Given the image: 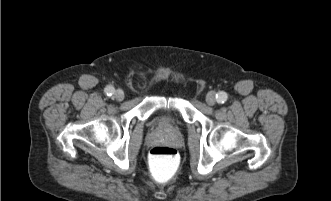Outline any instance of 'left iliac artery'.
Masks as SVG:
<instances>
[{
  "mask_svg": "<svg viewBox=\"0 0 331 201\" xmlns=\"http://www.w3.org/2000/svg\"><path fill=\"white\" fill-rule=\"evenodd\" d=\"M228 98V95L227 93L225 92H219L216 94V99H217V102L219 103H224Z\"/></svg>",
  "mask_w": 331,
  "mask_h": 201,
  "instance_id": "44dca946",
  "label": "left iliac artery"
}]
</instances>
